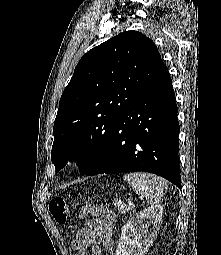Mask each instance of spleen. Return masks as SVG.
<instances>
[{
	"label": "spleen",
	"mask_w": 221,
	"mask_h": 255,
	"mask_svg": "<svg viewBox=\"0 0 221 255\" xmlns=\"http://www.w3.org/2000/svg\"><path fill=\"white\" fill-rule=\"evenodd\" d=\"M123 179L137 194H142L150 204L158 203L167 190V181L150 173L135 172L125 174Z\"/></svg>",
	"instance_id": "obj_1"
}]
</instances>
